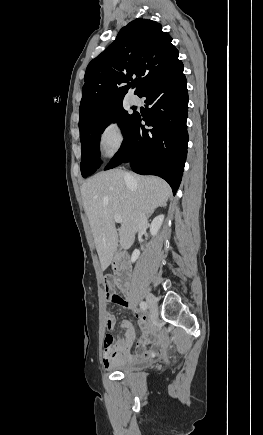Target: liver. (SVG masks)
I'll return each instance as SVG.
<instances>
[{
	"mask_svg": "<svg viewBox=\"0 0 263 435\" xmlns=\"http://www.w3.org/2000/svg\"><path fill=\"white\" fill-rule=\"evenodd\" d=\"M125 173L121 169L100 172L81 186L102 270L110 265L118 246L124 250L132 246L136 212L143 211L149 217L156 208L166 205L171 194L170 186L161 178L131 174L132 180L126 182ZM114 216L123 220L118 230Z\"/></svg>",
	"mask_w": 263,
	"mask_h": 435,
	"instance_id": "1",
	"label": "liver"
}]
</instances>
